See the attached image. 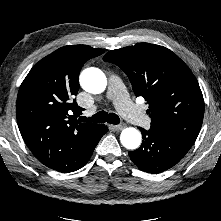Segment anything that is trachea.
<instances>
[{
	"mask_svg": "<svg viewBox=\"0 0 221 221\" xmlns=\"http://www.w3.org/2000/svg\"><path fill=\"white\" fill-rule=\"evenodd\" d=\"M79 120L81 122L91 121V122H98V123L108 122L111 124H119L120 123V119H119L118 115H116L115 113H108L106 111H100L89 118L80 117Z\"/></svg>",
	"mask_w": 221,
	"mask_h": 221,
	"instance_id": "trachea-1",
	"label": "trachea"
}]
</instances>
